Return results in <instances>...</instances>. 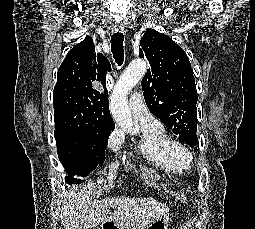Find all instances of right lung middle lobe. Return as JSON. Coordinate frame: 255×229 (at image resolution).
<instances>
[{
    "label": "right lung middle lobe",
    "mask_w": 255,
    "mask_h": 229,
    "mask_svg": "<svg viewBox=\"0 0 255 229\" xmlns=\"http://www.w3.org/2000/svg\"><path fill=\"white\" fill-rule=\"evenodd\" d=\"M103 132H74L55 130L57 152L66 169L68 183H79L73 176H87L105 160V149L109 138Z\"/></svg>",
    "instance_id": "obj_1"
}]
</instances>
